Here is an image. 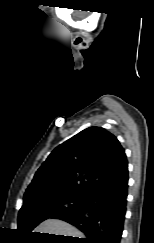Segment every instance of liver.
<instances>
[{"label": "liver", "mask_w": 154, "mask_h": 243, "mask_svg": "<svg viewBox=\"0 0 154 243\" xmlns=\"http://www.w3.org/2000/svg\"><path fill=\"white\" fill-rule=\"evenodd\" d=\"M34 232L71 236L78 238H83L84 236L78 229H76L72 225L58 219L45 220L35 228Z\"/></svg>", "instance_id": "1"}]
</instances>
